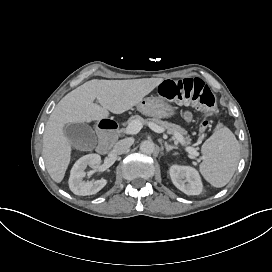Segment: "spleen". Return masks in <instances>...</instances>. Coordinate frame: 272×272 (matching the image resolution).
Returning a JSON list of instances; mask_svg holds the SVG:
<instances>
[{"label":"spleen","mask_w":272,"mask_h":272,"mask_svg":"<svg viewBox=\"0 0 272 272\" xmlns=\"http://www.w3.org/2000/svg\"><path fill=\"white\" fill-rule=\"evenodd\" d=\"M201 153V176L215 188L227 185L240 159V146L231 130L227 126L218 128L203 143Z\"/></svg>","instance_id":"1"}]
</instances>
